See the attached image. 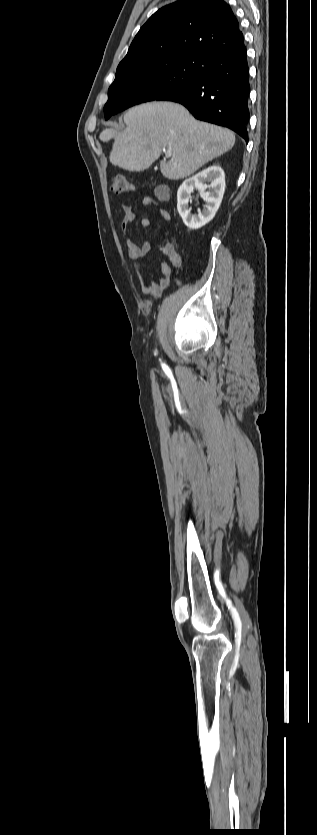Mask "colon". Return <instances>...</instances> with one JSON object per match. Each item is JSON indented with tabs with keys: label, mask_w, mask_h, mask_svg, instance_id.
Returning <instances> with one entry per match:
<instances>
[{
	"label": "colon",
	"mask_w": 317,
	"mask_h": 835,
	"mask_svg": "<svg viewBox=\"0 0 317 835\" xmlns=\"http://www.w3.org/2000/svg\"><path fill=\"white\" fill-rule=\"evenodd\" d=\"M133 183L124 175L117 174L112 177L111 191L115 194H124L133 191Z\"/></svg>",
	"instance_id": "1"
}]
</instances>
